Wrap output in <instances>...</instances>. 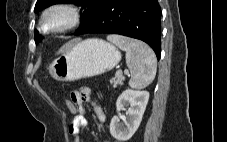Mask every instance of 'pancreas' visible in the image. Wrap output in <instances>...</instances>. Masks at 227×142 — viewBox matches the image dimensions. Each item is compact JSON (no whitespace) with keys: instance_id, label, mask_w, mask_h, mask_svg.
Masks as SVG:
<instances>
[{"instance_id":"1","label":"pancreas","mask_w":227,"mask_h":142,"mask_svg":"<svg viewBox=\"0 0 227 142\" xmlns=\"http://www.w3.org/2000/svg\"><path fill=\"white\" fill-rule=\"evenodd\" d=\"M124 76L122 74H116L114 78L110 80L111 84H113V87H117L119 85L123 84Z\"/></svg>"}]
</instances>
